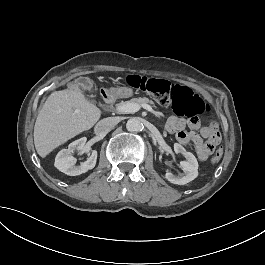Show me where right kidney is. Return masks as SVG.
I'll return each instance as SVG.
<instances>
[{
	"mask_svg": "<svg viewBox=\"0 0 265 265\" xmlns=\"http://www.w3.org/2000/svg\"><path fill=\"white\" fill-rule=\"evenodd\" d=\"M87 138L82 137L78 140L73 141L69 144L68 149H62L58 152L54 166L61 172L70 175L76 176L82 173L87 172L90 169H93L96 165L97 160V151L93 150L92 154L88 159L81 163V165L76 166V158L72 156V153L75 150L83 151L85 149Z\"/></svg>",
	"mask_w": 265,
	"mask_h": 265,
	"instance_id": "obj_1",
	"label": "right kidney"
}]
</instances>
